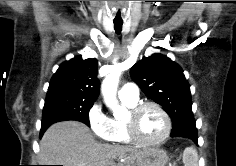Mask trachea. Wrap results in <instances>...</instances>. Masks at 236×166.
<instances>
[{
  "mask_svg": "<svg viewBox=\"0 0 236 166\" xmlns=\"http://www.w3.org/2000/svg\"><path fill=\"white\" fill-rule=\"evenodd\" d=\"M123 23H114V29L116 33H120L122 31Z\"/></svg>",
  "mask_w": 236,
  "mask_h": 166,
  "instance_id": "trachea-1",
  "label": "trachea"
}]
</instances>
